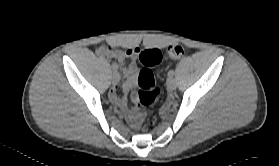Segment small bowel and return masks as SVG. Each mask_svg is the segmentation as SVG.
Segmentation results:
<instances>
[{"label": "small bowel", "mask_w": 279, "mask_h": 166, "mask_svg": "<svg viewBox=\"0 0 279 166\" xmlns=\"http://www.w3.org/2000/svg\"><path fill=\"white\" fill-rule=\"evenodd\" d=\"M98 53L100 55L109 57V58H114L118 61H122L125 58H131L133 56H135L138 52V50L136 48H129L125 51H121V50H117V49H113L110 46L107 45H102L101 47L98 48ZM136 74H137V69L135 67V65L133 64H129L126 68H125V75L127 77V80L124 84V91L127 94L131 88L135 85V81H136ZM110 99L117 104L118 106H120L122 109H126L124 103L120 100V98L117 95V91L116 88H113L110 91ZM129 120L130 122L135 126L138 122V111H134L128 114Z\"/></svg>", "instance_id": "c3829d8e"}]
</instances>
